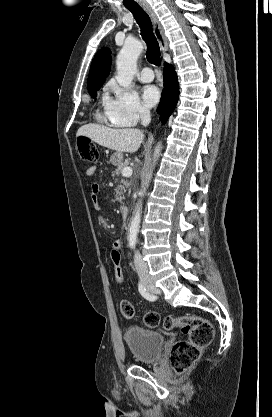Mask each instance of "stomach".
Masks as SVG:
<instances>
[{
    "instance_id": "obj_1",
    "label": "stomach",
    "mask_w": 272,
    "mask_h": 417,
    "mask_svg": "<svg viewBox=\"0 0 272 417\" xmlns=\"http://www.w3.org/2000/svg\"><path fill=\"white\" fill-rule=\"evenodd\" d=\"M122 161H123V154H122V152L116 151L110 157V162L113 165H119L120 163H122Z\"/></svg>"
}]
</instances>
